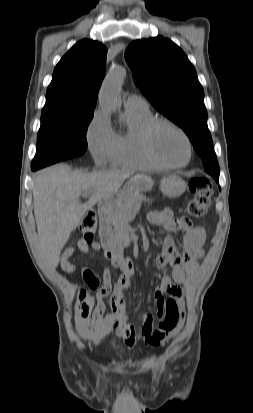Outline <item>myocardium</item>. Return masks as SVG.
I'll list each match as a JSON object with an SVG mask.
<instances>
[{
  "mask_svg": "<svg viewBox=\"0 0 253 413\" xmlns=\"http://www.w3.org/2000/svg\"><path fill=\"white\" fill-rule=\"evenodd\" d=\"M160 125H167L174 130H176L185 140L187 150H188V155L187 159L181 163V164H170L162 160L155 152L154 147H153V133L156 130V128ZM141 142H142V147L144 149L145 154L147 157L157 166L165 169H180L185 166H187L192 158L193 154V147H192V142L188 136V134L184 131L183 128H181L178 124L175 122L166 119V118H153L150 120L142 129L141 133Z\"/></svg>",
  "mask_w": 253,
  "mask_h": 413,
  "instance_id": "myocardium-1",
  "label": "myocardium"
}]
</instances>
